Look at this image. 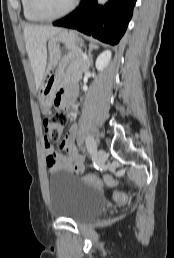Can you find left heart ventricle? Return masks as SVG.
Wrapping results in <instances>:
<instances>
[{
    "label": "left heart ventricle",
    "instance_id": "1",
    "mask_svg": "<svg viewBox=\"0 0 174 258\" xmlns=\"http://www.w3.org/2000/svg\"><path fill=\"white\" fill-rule=\"evenodd\" d=\"M73 0H36L39 10L47 15H55L65 10Z\"/></svg>",
    "mask_w": 174,
    "mask_h": 258
}]
</instances>
